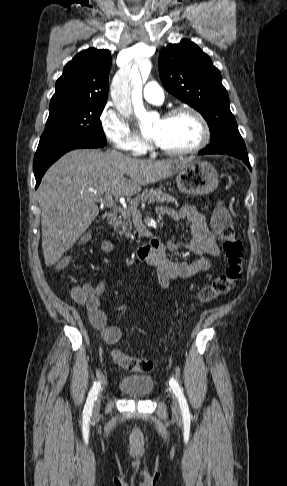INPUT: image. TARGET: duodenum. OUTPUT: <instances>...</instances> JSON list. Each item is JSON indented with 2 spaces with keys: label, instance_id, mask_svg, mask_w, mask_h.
Instances as JSON below:
<instances>
[{
  "label": "duodenum",
  "instance_id": "obj_1",
  "mask_svg": "<svg viewBox=\"0 0 287 486\" xmlns=\"http://www.w3.org/2000/svg\"><path fill=\"white\" fill-rule=\"evenodd\" d=\"M117 218V211L111 210L107 213L106 222L108 225H113ZM161 241L158 237H153L147 244L140 245L136 248V257L139 260H146L157 253Z\"/></svg>",
  "mask_w": 287,
  "mask_h": 486
}]
</instances>
